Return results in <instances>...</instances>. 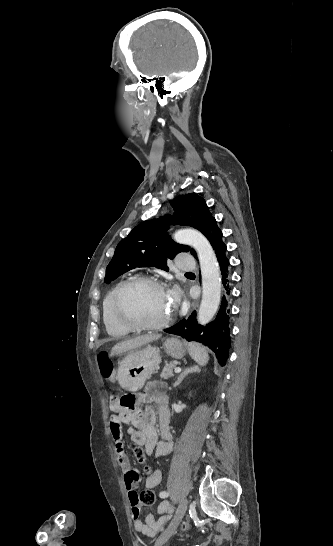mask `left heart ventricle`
Instances as JSON below:
<instances>
[{
    "instance_id": "left-heart-ventricle-1",
    "label": "left heart ventricle",
    "mask_w": 333,
    "mask_h": 546,
    "mask_svg": "<svg viewBox=\"0 0 333 546\" xmlns=\"http://www.w3.org/2000/svg\"><path fill=\"white\" fill-rule=\"evenodd\" d=\"M125 307L131 316L140 321L158 323L169 316L173 303L164 288L139 285L126 295Z\"/></svg>"
}]
</instances>
